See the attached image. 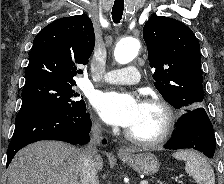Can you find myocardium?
<instances>
[{
	"instance_id": "1",
	"label": "myocardium",
	"mask_w": 224,
	"mask_h": 184,
	"mask_svg": "<svg viewBox=\"0 0 224 184\" xmlns=\"http://www.w3.org/2000/svg\"><path fill=\"white\" fill-rule=\"evenodd\" d=\"M144 105L148 106H155L161 109V111L164 114V122L161 127L160 133L151 139H143L135 136L133 133H131L129 130L125 132L126 137L133 143L141 146H157L169 139V137L172 135L173 130L175 128V125L177 123V114L174 109V107L160 97H146L143 100Z\"/></svg>"
}]
</instances>
